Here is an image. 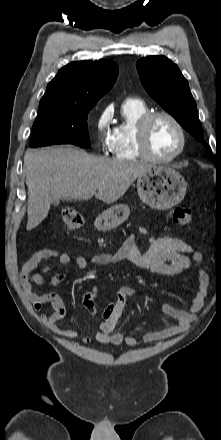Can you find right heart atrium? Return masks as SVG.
I'll return each mask as SVG.
<instances>
[{"instance_id":"right-heart-atrium-1","label":"right heart atrium","mask_w":221,"mask_h":440,"mask_svg":"<svg viewBox=\"0 0 221 440\" xmlns=\"http://www.w3.org/2000/svg\"><path fill=\"white\" fill-rule=\"evenodd\" d=\"M112 109L104 108L97 116L95 121V130L97 139L103 149L110 148L113 129L111 128Z\"/></svg>"}]
</instances>
